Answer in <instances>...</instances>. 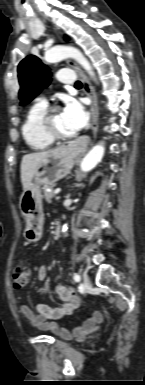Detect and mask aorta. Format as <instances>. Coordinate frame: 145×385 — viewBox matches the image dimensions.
Instances as JSON below:
<instances>
[{"label":"aorta","mask_w":145,"mask_h":385,"mask_svg":"<svg viewBox=\"0 0 145 385\" xmlns=\"http://www.w3.org/2000/svg\"><path fill=\"white\" fill-rule=\"evenodd\" d=\"M69 57L75 59L95 79V74L89 61L79 49L71 46H58L45 53V60L49 63H55ZM104 152L105 148L102 143L95 145L83 158L80 165L81 170L86 172L93 169L101 161ZM67 229V225H63L62 231L66 232Z\"/></svg>","instance_id":"762f6f07"}]
</instances>
